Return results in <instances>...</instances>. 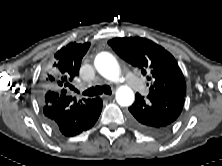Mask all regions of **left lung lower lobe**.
I'll list each match as a JSON object with an SVG mask.
<instances>
[{
  "label": "left lung lower lobe",
  "instance_id": "obj_1",
  "mask_svg": "<svg viewBox=\"0 0 222 166\" xmlns=\"http://www.w3.org/2000/svg\"><path fill=\"white\" fill-rule=\"evenodd\" d=\"M184 97L179 93L159 92L146 99L137 93L134 104L129 107L131 124L143 133H163L180 115Z\"/></svg>",
  "mask_w": 222,
  "mask_h": 166
}]
</instances>
